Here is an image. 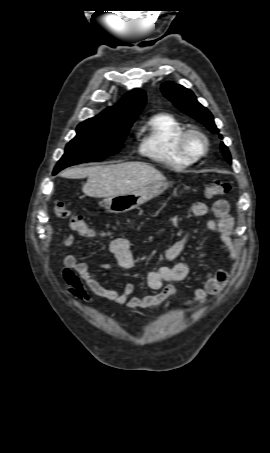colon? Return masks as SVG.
Listing matches in <instances>:
<instances>
[{
  "label": "colon",
  "mask_w": 270,
  "mask_h": 453,
  "mask_svg": "<svg viewBox=\"0 0 270 453\" xmlns=\"http://www.w3.org/2000/svg\"><path fill=\"white\" fill-rule=\"evenodd\" d=\"M230 186L223 181H215L205 187V196L208 198L223 196L228 193ZM58 217L68 220L70 227L80 236L88 237L92 234V229L82 216L73 215L63 201H58L54 207Z\"/></svg>",
  "instance_id": "1"
}]
</instances>
